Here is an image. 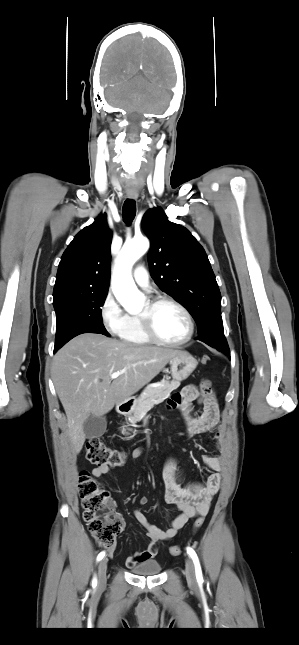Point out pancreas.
<instances>
[{
	"label": "pancreas",
	"mask_w": 299,
	"mask_h": 645,
	"mask_svg": "<svg viewBox=\"0 0 299 645\" xmlns=\"http://www.w3.org/2000/svg\"><path fill=\"white\" fill-rule=\"evenodd\" d=\"M178 381L162 380L158 386H147L134 403L132 414L128 416V421L136 423L141 421L143 415L147 413L155 404L163 402L170 396V393L179 387ZM127 429L122 428L121 433L127 434ZM130 430V429H128ZM128 437L127 439H130Z\"/></svg>",
	"instance_id": "cf45deb5"
}]
</instances>
